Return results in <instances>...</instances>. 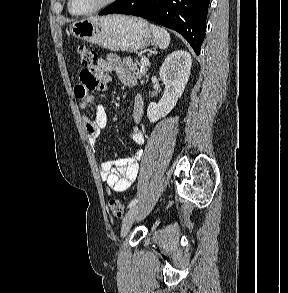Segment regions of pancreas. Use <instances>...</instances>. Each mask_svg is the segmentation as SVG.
Listing matches in <instances>:
<instances>
[{"label":"pancreas","instance_id":"1","mask_svg":"<svg viewBox=\"0 0 288 293\" xmlns=\"http://www.w3.org/2000/svg\"><path fill=\"white\" fill-rule=\"evenodd\" d=\"M124 64L128 68L130 72H132L134 75H136L137 78H141L145 75L147 71L146 66H141L138 61H133L130 57H125L123 60ZM139 67L142 69H139Z\"/></svg>","mask_w":288,"mask_h":293}]
</instances>
